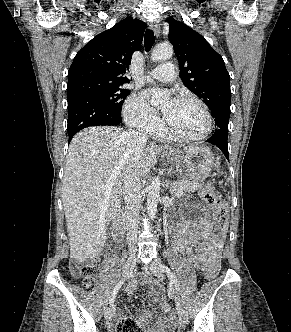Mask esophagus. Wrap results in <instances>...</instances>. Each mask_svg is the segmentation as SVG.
I'll use <instances>...</instances> for the list:
<instances>
[{"label":"esophagus","instance_id":"obj_1","mask_svg":"<svg viewBox=\"0 0 291 332\" xmlns=\"http://www.w3.org/2000/svg\"><path fill=\"white\" fill-rule=\"evenodd\" d=\"M150 27L156 36H158L160 34V25L157 22H152L150 24Z\"/></svg>","mask_w":291,"mask_h":332}]
</instances>
